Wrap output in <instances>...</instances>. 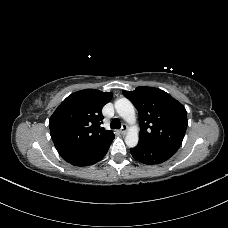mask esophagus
I'll use <instances>...</instances> for the list:
<instances>
[{"label": "esophagus", "instance_id": "obj_1", "mask_svg": "<svg viewBox=\"0 0 228 228\" xmlns=\"http://www.w3.org/2000/svg\"><path fill=\"white\" fill-rule=\"evenodd\" d=\"M127 129H128V126L126 124H123L122 127H121V129H120V133L122 135H125L126 132H127Z\"/></svg>", "mask_w": 228, "mask_h": 228}]
</instances>
